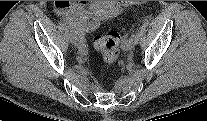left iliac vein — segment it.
I'll use <instances>...</instances> for the list:
<instances>
[{
    "label": "left iliac vein",
    "mask_w": 207,
    "mask_h": 121,
    "mask_svg": "<svg viewBox=\"0 0 207 121\" xmlns=\"http://www.w3.org/2000/svg\"><path fill=\"white\" fill-rule=\"evenodd\" d=\"M135 44H137V39H133V38L128 39V40L125 41V43H124V48H125L126 50H131V49L135 46Z\"/></svg>",
    "instance_id": "4c4485c4"
}]
</instances>
